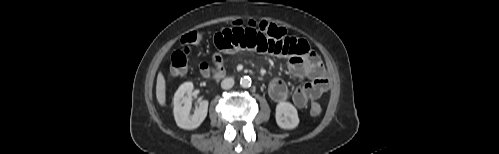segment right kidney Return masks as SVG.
Returning <instances> with one entry per match:
<instances>
[{"label":"right kidney","mask_w":499,"mask_h":154,"mask_svg":"<svg viewBox=\"0 0 499 154\" xmlns=\"http://www.w3.org/2000/svg\"><path fill=\"white\" fill-rule=\"evenodd\" d=\"M192 91L193 83H183L174 95V118L180 128L192 130L201 125L207 116L208 101L202 100L199 102V107L196 108L194 114L190 116L192 107Z\"/></svg>","instance_id":"ca27d5eb"}]
</instances>
